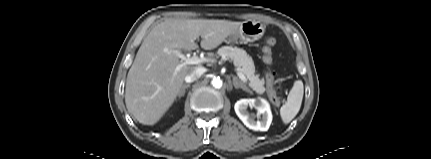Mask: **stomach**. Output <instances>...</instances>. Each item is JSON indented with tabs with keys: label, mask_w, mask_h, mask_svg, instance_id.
<instances>
[{
	"label": "stomach",
	"mask_w": 431,
	"mask_h": 159,
	"mask_svg": "<svg viewBox=\"0 0 431 159\" xmlns=\"http://www.w3.org/2000/svg\"><path fill=\"white\" fill-rule=\"evenodd\" d=\"M265 32L263 23L247 20L234 30L228 37L229 43H248L260 39Z\"/></svg>",
	"instance_id": "stomach-1"
}]
</instances>
